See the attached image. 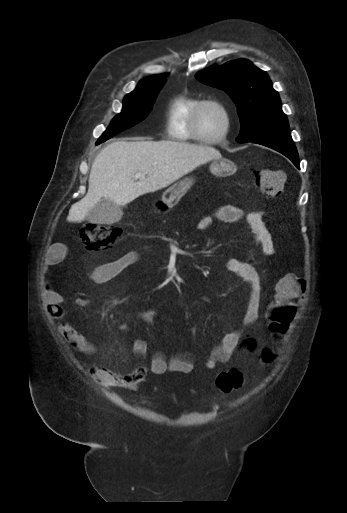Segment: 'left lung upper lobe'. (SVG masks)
<instances>
[{"mask_svg": "<svg viewBox=\"0 0 347 513\" xmlns=\"http://www.w3.org/2000/svg\"><path fill=\"white\" fill-rule=\"evenodd\" d=\"M196 78L224 90L238 108L241 130L237 142H251L271 134L288 133L289 125L277 91L264 71L246 59L213 65Z\"/></svg>", "mask_w": 347, "mask_h": 513, "instance_id": "obj_1", "label": "left lung upper lobe"}]
</instances>
